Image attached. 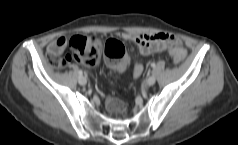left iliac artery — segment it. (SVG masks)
<instances>
[{
	"label": "left iliac artery",
	"mask_w": 238,
	"mask_h": 145,
	"mask_svg": "<svg viewBox=\"0 0 238 145\" xmlns=\"http://www.w3.org/2000/svg\"><path fill=\"white\" fill-rule=\"evenodd\" d=\"M151 66H152L153 68H155V63H152Z\"/></svg>",
	"instance_id": "left-iliac-artery-1"
}]
</instances>
